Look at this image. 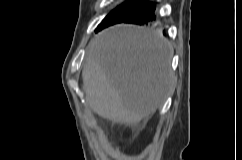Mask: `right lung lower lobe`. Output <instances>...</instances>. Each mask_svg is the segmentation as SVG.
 <instances>
[{
  "label": "right lung lower lobe",
  "mask_w": 242,
  "mask_h": 160,
  "mask_svg": "<svg viewBox=\"0 0 242 160\" xmlns=\"http://www.w3.org/2000/svg\"><path fill=\"white\" fill-rule=\"evenodd\" d=\"M155 4L148 2L120 22L147 25L155 20ZM118 22V23H120Z\"/></svg>",
  "instance_id": "1"
}]
</instances>
